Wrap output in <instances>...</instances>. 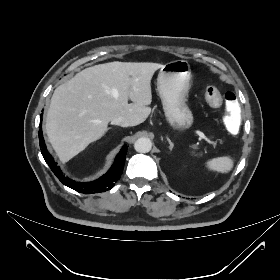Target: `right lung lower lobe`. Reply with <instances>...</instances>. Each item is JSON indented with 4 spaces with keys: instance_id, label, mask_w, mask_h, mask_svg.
I'll return each instance as SVG.
<instances>
[{
    "instance_id": "1",
    "label": "right lung lower lobe",
    "mask_w": 280,
    "mask_h": 280,
    "mask_svg": "<svg viewBox=\"0 0 280 280\" xmlns=\"http://www.w3.org/2000/svg\"><path fill=\"white\" fill-rule=\"evenodd\" d=\"M41 124L42 122H40V130H39L41 153L46 163L49 165V167L51 168L53 173L57 176V178L61 181V183L74 189L77 192L84 193V194H93V193H100V192H105L107 190H110L115 185L116 181L119 180L120 175L123 172L125 157H126L128 147L122 148L120 153L115 158L112 167L104 176L92 182H76L74 180L67 178L63 174V172L57 166V163L53 160L52 156L47 151L43 134H42Z\"/></svg>"
}]
</instances>
